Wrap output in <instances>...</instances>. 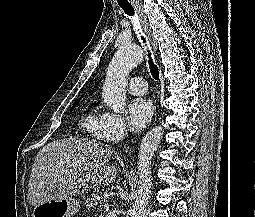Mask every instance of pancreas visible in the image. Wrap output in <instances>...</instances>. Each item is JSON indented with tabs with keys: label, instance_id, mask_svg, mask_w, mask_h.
I'll return each instance as SVG.
<instances>
[{
	"label": "pancreas",
	"instance_id": "pancreas-1",
	"mask_svg": "<svg viewBox=\"0 0 255 217\" xmlns=\"http://www.w3.org/2000/svg\"><path fill=\"white\" fill-rule=\"evenodd\" d=\"M85 204L88 209L96 208V206H98V204H101L99 192L95 191V192L91 193L90 196H88L85 199Z\"/></svg>",
	"mask_w": 255,
	"mask_h": 217
}]
</instances>
